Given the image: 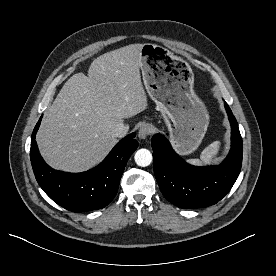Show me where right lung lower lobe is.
<instances>
[{
    "label": "right lung lower lobe",
    "instance_id": "1",
    "mask_svg": "<svg viewBox=\"0 0 276 276\" xmlns=\"http://www.w3.org/2000/svg\"><path fill=\"white\" fill-rule=\"evenodd\" d=\"M42 116L32 133L30 149L31 164L41 188L69 211H91L107 206L117 194L126 163L138 146L133 139L135 133L118 142L95 168L82 173H66L50 168L39 154L35 134Z\"/></svg>",
    "mask_w": 276,
    "mask_h": 276
}]
</instances>
